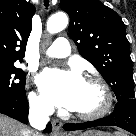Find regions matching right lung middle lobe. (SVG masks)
Listing matches in <instances>:
<instances>
[{"label": "right lung middle lobe", "mask_w": 136, "mask_h": 136, "mask_svg": "<svg viewBox=\"0 0 136 136\" xmlns=\"http://www.w3.org/2000/svg\"><path fill=\"white\" fill-rule=\"evenodd\" d=\"M26 75L14 63L0 64V99H20L25 96Z\"/></svg>", "instance_id": "dd1d6c3e"}]
</instances>
